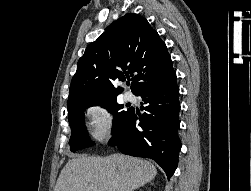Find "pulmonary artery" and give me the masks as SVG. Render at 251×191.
Listing matches in <instances>:
<instances>
[{
  "label": "pulmonary artery",
  "mask_w": 251,
  "mask_h": 191,
  "mask_svg": "<svg viewBox=\"0 0 251 191\" xmlns=\"http://www.w3.org/2000/svg\"><path fill=\"white\" fill-rule=\"evenodd\" d=\"M124 98L127 101H133L134 95L130 91H126V92H124Z\"/></svg>",
  "instance_id": "obj_1"
}]
</instances>
